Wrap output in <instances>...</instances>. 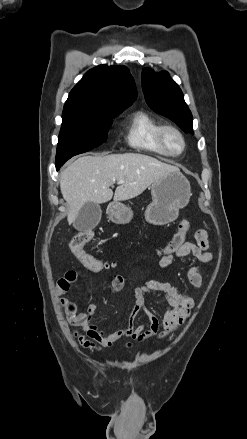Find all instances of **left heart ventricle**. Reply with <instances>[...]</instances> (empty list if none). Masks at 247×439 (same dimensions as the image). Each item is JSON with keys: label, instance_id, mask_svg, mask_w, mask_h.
<instances>
[{"label": "left heart ventricle", "instance_id": "b2bd125f", "mask_svg": "<svg viewBox=\"0 0 247 439\" xmlns=\"http://www.w3.org/2000/svg\"><path fill=\"white\" fill-rule=\"evenodd\" d=\"M166 142L168 147L172 150V151H179L181 149V141L178 138L177 135H175L174 133H168L166 136Z\"/></svg>", "mask_w": 247, "mask_h": 439}]
</instances>
